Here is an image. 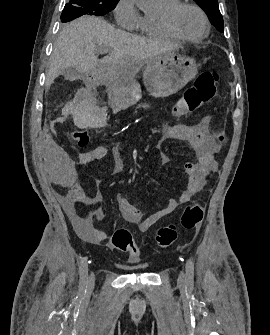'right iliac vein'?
<instances>
[{"label": "right iliac vein", "instance_id": "63e3f726", "mask_svg": "<svg viewBox=\"0 0 270 335\" xmlns=\"http://www.w3.org/2000/svg\"><path fill=\"white\" fill-rule=\"evenodd\" d=\"M94 282H95V277L93 274H90L89 278H88V287L91 288L94 286Z\"/></svg>", "mask_w": 270, "mask_h": 335}]
</instances>
